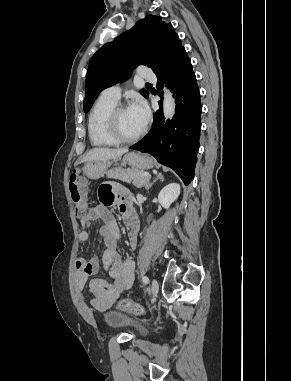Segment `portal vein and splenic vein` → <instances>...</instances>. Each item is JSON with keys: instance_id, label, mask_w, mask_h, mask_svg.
Listing matches in <instances>:
<instances>
[{"instance_id": "obj_1", "label": "portal vein and splenic vein", "mask_w": 291, "mask_h": 381, "mask_svg": "<svg viewBox=\"0 0 291 381\" xmlns=\"http://www.w3.org/2000/svg\"><path fill=\"white\" fill-rule=\"evenodd\" d=\"M142 175H143L144 177H146V178H150V174L147 173V172L143 173Z\"/></svg>"}]
</instances>
